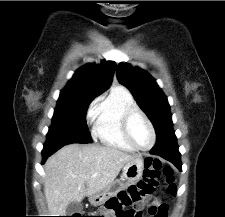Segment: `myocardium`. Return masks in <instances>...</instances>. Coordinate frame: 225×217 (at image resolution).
I'll return each mask as SVG.
<instances>
[{
	"mask_svg": "<svg viewBox=\"0 0 225 217\" xmlns=\"http://www.w3.org/2000/svg\"><path fill=\"white\" fill-rule=\"evenodd\" d=\"M135 116H140L142 117L145 122L147 123L151 134H152V142L151 144L146 147V148H142L140 146H138L135 141L133 140L132 134H131V122L133 120V118ZM122 133L123 136L125 138V140L127 141V143L135 150L137 151H149L150 149L153 148V146L156 143V131L154 128L153 123L151 122V120L149 119V117L137 106L129 108L123 115L122 117Z\"/></svg>",
	"mask_w": 225,
	"mask_h": 217,
	"instance_id": "obj_1",
	"label": "myocardium"
}]
</instances>
